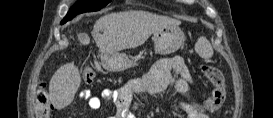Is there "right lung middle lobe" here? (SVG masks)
I'll return each mask as SVG.
<instances>
[{"mask_svg":"<svg viewBox=\"0 0 273 118\" xmlns=\"http://www.w3.org/2000/svg\"><path fill=\"white\" fill-rule=\"evenodd\" d=\"M110 2L111 0H78L69 10L63 21L67 22L81 13L98 11Z\"/></svg>","mask_w":273,"mask_h":118,"instance_id":"obj_1","label":"right lung middle lobe"}]
</instances>
